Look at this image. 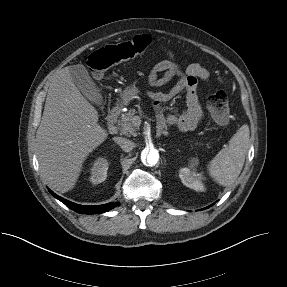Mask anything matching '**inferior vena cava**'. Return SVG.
Here are the masks:
<instances>
[{"instance_id": "1", "label": "inferior vena cava", "mask_w": 287, "mask_h": 287, "mask_svg": "<svg viewBox=\"0 0 287 287\" xmlns=\"http://www.w3.org/2000/svg\"><path fill=\"white\" fill-rule=\"evenodd\" d=\"M113 140L125 151L130 152L133 147L134 143L129 139L122 138V137H114Z\"/></svg>"}]
</instances>
